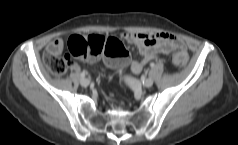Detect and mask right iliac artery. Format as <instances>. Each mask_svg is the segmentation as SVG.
Here are the masks:
<instances>
[{"label": "right iliac artery", "instance_id": "right-iliac-artery-1", "mask_svg": "<svg viewBox=\"0 0 238 145\" xmlns=\"http://www.w3.org/2000/svg\"><path fill=\"white\" fill-rule=\"evenodd\" d=\"M87 75V72L86 71H83L82 73H81V77H85Z\"/></svg>", "mask_w": 238, "mask_h": 145}]
</instances>
